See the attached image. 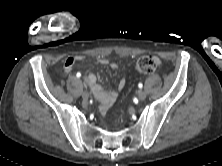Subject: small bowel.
<instances>
[{"label": "small bowel", "mask_w": 222, "mask_h": 166, "mask_svg": "<svg viewBox=\"0 0 222 166\" xmlns=\"http://www.w3.org/2000/svg\"><path fill=\"white\" fill-rule=\"evenodd\" d=\"M83 56H71L68 57L64 62V71L66 73L70 72L77 61L83 60ZM99 62L103 65H109L112 69H117V64L114 62H109L105 58H100ZM85 83L90 87L94 96L100 101V111L104 114L114 103L117 98V91L106 90L100 84L97 83V77L92 72H88L84 76ZM126 80L124 78L120 79L117 85V90L120 91L125 87Z\"/></svg>", "instance_id": "1"}]
</instances>
